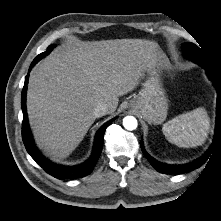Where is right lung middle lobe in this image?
Here are the masks:
<instances>
[{
  "instance_id": "right-lung-middle-lobe-1",
  "label": "right lung middle lobe",
  "mask_w": 221,
  "mask_h": 221,
  "mask_svg": "<svg viewBox=\"0 0 221 221\" xmlns=\"http://www.w3.org/2000/svg\"><path fill=\"white\" fill-rule=\"evenodd\" d=\"M54 46H55V45H50V46L48 47L47 51H45V52H43V53H41V54H39V55L42 56V57L46 56L47 54L50 53V51L53 49Z\"/></svg>"
}]
</instances>
